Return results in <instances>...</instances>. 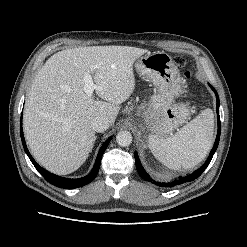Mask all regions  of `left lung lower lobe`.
I'll return each mask as SVG.
<instances>
[{
	"instance_id": "0a47b994",
	"label": "left lung lower lobe",
	"mask_w": 247,
	"mask_h": 247,
	"mask_svg": "<svg viewBox=\"0 0 247 247\" xmlns=\"http://www.w3.org/2000/svg\"><path fill=\"white\" fill-rule=\"evenodd\" d=\"M213 90L214 88L211 87ZM215 92V95H216V100H217V106H216V109H217V123H218V132H217V136H216V140H215V143H214V146L206 160V162L196 171H194L192 174L182 178L180 177L179 179L177 180H174L172 182H168V183H159V182H155L153 181L150 176L146 173V171L143 169L141 163H140V160H139V157L137 155V153H135V162H136V168H137V171L139 173V175L146 181H153L156 185L158 186H161V187H174V186H178L182 183H185V182H190V181H193L195 180L196 178H198L203 172L204 170L207 168V166L209 165L217 147H218V144H219V139H220V132H221V124H220V117H219V97H218V94L217 92L214 90Z\"/></svg>"
}]
</instances>
